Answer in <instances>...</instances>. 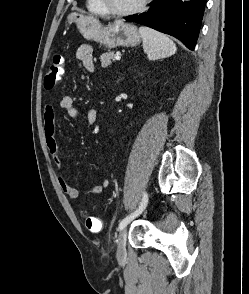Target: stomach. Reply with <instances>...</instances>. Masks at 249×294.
I'll return each mask as SVG.
<instances>
[{"mask_svg":"<svg viewBox=\"0 0 249 294\" xmlns=\"http://www.w3.org/2000/svg\"><path fill=\"white\" fill-rule=\"evenodd\" d=\"M69 24L76 23L80 33L87 39L100 43L107 48L118 46H136L141 41V35L133 24L115 20L103 26L98 19L78 13H71L67 17Z\"/></svg>","mask_w":249,"mask_h":294,"instance_id":"1","label":"stomach"}]
</instances>
